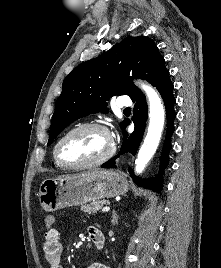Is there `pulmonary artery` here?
I'll return each instance as SVG.
<instances>
[{
  "label": "pulmonary artery",
  "instance_id": "1",
  "mask_svg": "<svg viewBox=\"0 0 221 268\" xmlns=\"http://www.w3.org/2000/svg\"><path fill=\"white\" fill-rule=\"evenodd\" d=\"M131 105H132V102L128 97L122 96L118 100L119 107H130Z\"/></svg>",
  "mask_w": 221,
  "mask_h": 268
}]
</instances>
